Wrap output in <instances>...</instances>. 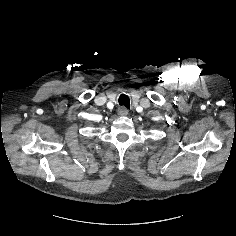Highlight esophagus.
<instances>
[{"instance_id":"34e87169","label":"esophagus","mask_w":236,"mask_h":236,"mask_svg":"<svg viewBox=\"0 0 236 236\" xmlns=\"http://www.w3.org/2000/svg\"><path fill=\"white\" fill-rule=\"evenodd\" d=\"M118 114H119L120 116H126V115L128 114V109L125 108V107H120V108L118 109Z\"/></svg>"}]
</instances>
